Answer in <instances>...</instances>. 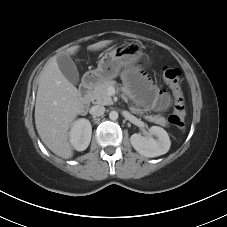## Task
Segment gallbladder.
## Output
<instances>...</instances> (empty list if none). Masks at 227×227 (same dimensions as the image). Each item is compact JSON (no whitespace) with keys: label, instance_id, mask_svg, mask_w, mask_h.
Here are the masks:
<instances>
[{"label":"gallbladder","instance_id":"bac80fb5","mask_svg":"<svg viewBox=\"0 0 227 227\" xmlns=\"http://www.w3.org/2000/svg\"><path fill=\"white\" fill-rule=\"evenodd\" d=\"M57 64L68 81H70L74 85L78 84L79 73L76 65L69 57V55L64 53L59 54L57 57Z\"/></svg>","mask_w":227,"mask_h":227}]
</instances>
